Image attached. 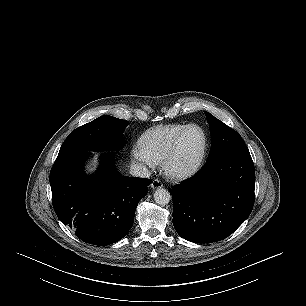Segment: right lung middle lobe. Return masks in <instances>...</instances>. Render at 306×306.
Listing matches in <instances>:
<instances>
[{"instance_id":"right-lung-middle-lobe-1","label":"right lung middle lobe","mask_w":306,"mask_h":306,"mask_svg":"<svg viewBox=\"0 0 306 306\" xmlns=\"http://www.w3.org/2000/svg\"><path fill=\"white\" fill-rule=\"evenodd\" d=\"M127 120L101 116L73 130L62 144L55 163L88 151H109L124 146L123 131Z\"/></svg>"}]
</instances>
